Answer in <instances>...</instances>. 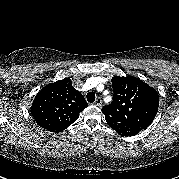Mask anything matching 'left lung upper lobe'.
Wrapping results in <instances>:
<instances>
[{
  "mask_svg": "<svg viewBox=\"0 0 179 179\" xmlns=\"http://www.w3.org/2000/svg\"><path fill=\"white\" fill-rule=\"evenodd\" d=\"M112 86L113 102L101 109L108 125L122 136L146 129L158 111L157 91L135 77L115 76Z\"/></svg>",
  "mask_w": 179,
  "mask_h": 179,
  "instance_id": "1",
  "label": "left lung upper lobe"
}]
</instances>
